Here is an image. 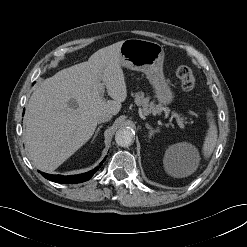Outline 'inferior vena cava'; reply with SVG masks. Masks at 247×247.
Here are the masks:
<instances>
[{"label":"inferior vena cava","instance_id":"602c4592","mask_svg":"<svg viewBox=\"0 0 247 247\" xmlns=\"http://www.w3.org/2000/svg\"><path fill=\"white\" fill-rule=\"evenodd\" d=\"M111 118H112L111 114H107V113L101 114L98 116V123H104L110 121Z\"/></svg>","mask_w":247,"mask_h":247}]
</instances>
